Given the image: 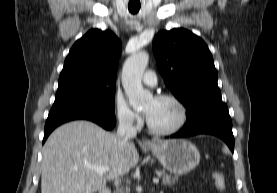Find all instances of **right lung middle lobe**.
<instances>
[{"label":"right lung middle lobe","mask_w":277,"mask_h":193,"mask_svg":"<svg viewBox=\"0 0 277 193\" xmlns=\"http://www.w3.org/2000/svg\"><path fill=\"white\" fill-rule=\"evenodd\" d=\"M115 87L84 86L57 91L54 104L89 107L96 111L115 116Z\"/></svg>","instance_id":"obj_1"}]
</instances>
